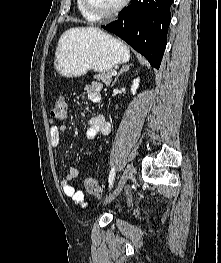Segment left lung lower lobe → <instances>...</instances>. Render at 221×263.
<instances>
[{
	"label": "left lung lower lobe",
	"instance_id": "1",
	"mask_svg": "<svg viewBox=\"0 0 221 263\" xmlns=\"http://www.w3.org/2000/svg\"><path fill=\"white\" fill-rule=\"evenodd\" d=\"M174 0H131L119 18L102 27L126 41L159 69L167 44Z\"/></svg>",
	"mask_w": 221,
	"mask_h": 263
}]
</instances>
